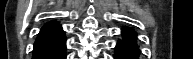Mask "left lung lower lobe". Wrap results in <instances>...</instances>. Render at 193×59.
I'll return each instance as SVG.
<instances>
[{
	"mask_svg": "<svg viewBox=\"0 0 193 59\" xmlns=\"http://www.w3.org/2000/svg\"><path fill=\"white\" fill-rule=\"evenodd\" d=\"M122 36V40L118 41L115 48V59H139L140 50L136 44V33L131 28L124 27Z\"/></svg>",
	"mask_w": 193,
	"mask_h": 59,
	"instance_id": "1",
	"label": "left lung lower lobe"
}]
</instances>
